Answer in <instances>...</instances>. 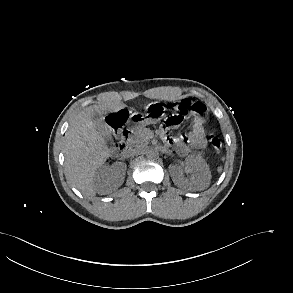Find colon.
I'll return each mask as SVG.
<instances>
[{
  "label": "colon",
  "mask_w": 293,
  "mask_h": 293,
  "mask_svg": "<svg viewBox=\"0 0 293 293\" xmlns=\"http://www.w3.org/2000/svg\"><path fill=\"white\" fill-rule=\"evenodd\" d=\"M170 114L161 125L162 130L172 136L171 131L179 127L187 117L206 118L207 108L199 101H192L189 98H183L172 102L169 106ZM126 115L123 111H119L111 115V124L114 129L113 137L119 140V127L125 122ZM184 136H178L183 139ZM209 142L215 153H221L223 144L219 136L211 134Z\"/></svg>",
  "instance_id": "5ec220e1"
}]
</instances>
